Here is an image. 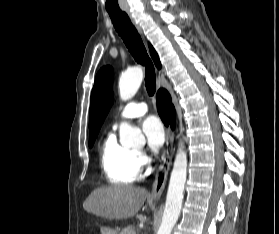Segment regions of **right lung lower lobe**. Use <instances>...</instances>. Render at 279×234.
I'll use <instances>...</instances> for the list:
<instances>
[{
	"mask_svg": "<svg viewBox=\"0 0 279 234\" xmlns=\"http://www.w3.org/2000/svg\"><path fill=\"white\" fill-rule=\"evenodd\" d=\"M157 110L165 125L174 129L175 109L169 93L165 89H160L157 93Z\"/></svg>",
	"mask_w": 279,
	"mask_h": 234,
	"instance_id": "1",
	"label": "right lung lower lobe"
}]
</instances>
